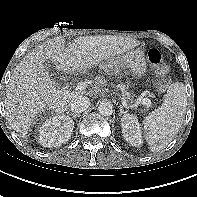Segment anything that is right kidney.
<instances>
[{"label":"right kidney","instance_id":"right-kidney-1","mask_svg":"<svg viewBox=\"0 0 197 197\" xmlns=\"http://www.w3.org/2000/svg\"><path fill=\"white\" fill-rule=\"evenodd\" d=\"M74 122L69 116L56 115L47 119L39 130V142L44 147H57L71 137Z\"/></svg>","mask_w":197,"mask_h":197}]
</instances>
